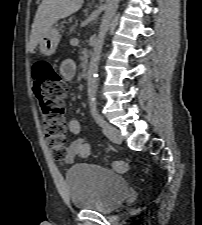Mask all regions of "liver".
<instances>
[{"instance_id": "liver-1", "label": "liver", "mask_w": 202, "mask_h": 225, "mask_svg": "<svg viewBox=\"0 0 202 225\" xmlns=\"http://www.w3.org/2000/svg\"><path fill=\"white\" fill-rule=\"evenodd\" d=\"M84 0H42L38 7L30 35L29 50L32 52L43 35L60 19L77 12Z\"/></svg>"}]
</instances>
